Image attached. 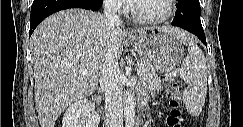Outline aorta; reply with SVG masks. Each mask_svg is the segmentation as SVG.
<instances>
[{"mask_svg": "<svg viewBox=\"0 0 243 127\" xmlns=\"http://www.w3.org/2000/svg\"><path fill=\"white\" fill-rule=\"evenodd\" d=\"M123 107L126 127H134L135 123V107L134 98L128 90L124 92Z\"/></svg>", "mask_w": 243, "mask_h": 127, "instance_id": "aorta-1", "label": "aorta"}]
</instances>
